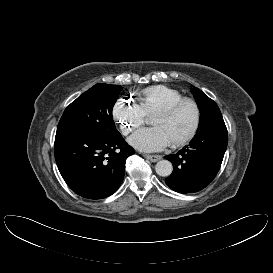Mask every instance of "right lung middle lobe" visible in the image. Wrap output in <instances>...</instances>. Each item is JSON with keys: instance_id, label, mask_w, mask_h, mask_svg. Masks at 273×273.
Segmentation results:
<instances>
[{"instance_id": "right-lung-middle-lobe-1", "label": "right lung middle lobe", "mask_w": 273, "mask_h": 273, "mask_svg": "<svg viewBox=\"0 0 273 273\" xmlns=\"http://www.w3.org/2000/svg\"><path fill=\"white\" fill-rule=\"evenodd\" d=\"M122 87L96 84L73 101L64 111L55 139L96 135L108 138L118 135L112 109Z\"/></svg>"}]
</instances>
